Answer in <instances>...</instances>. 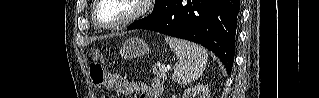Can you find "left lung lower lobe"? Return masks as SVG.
Here are the masks:
<instances>
[{"label":"left lung lower lobe","mask_w":319,"mask_h":98,"mask_svg":"<svg viewBox=\"0 0 319 98\" xmlns=\"http://www.w3.org/2000/svg\"><path fill=\"white\" fill-rule=\"evenodd\" d=\"M239 9L240 0H165L159 19L127 29L152 30L201 44L220 58L230 74Z\"/></svg>","instance_id":"obj_1"}]
</instances>
